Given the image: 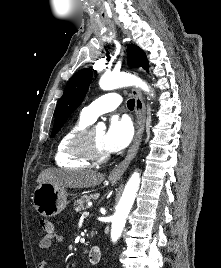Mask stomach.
I'll use <instances>...</instances> for the list:
<instances>
[{
  "label": "stomach",
  "instance_id": "0dacf381",
  "mask_svg": "<svg viewBox=\"0 0 221 268\" xmlns=\"http://www.w3.org/2000/svg\"><path fill=\"white\" fill-rule=\"evenodd\" d=\"M67 195L65 187L41 183L35 188L32 201L34 208L40 215L54 217L65 209Z\"/></svg>",
  "mask_w": 221,
  "mask_h": 268
}]
</instances>
